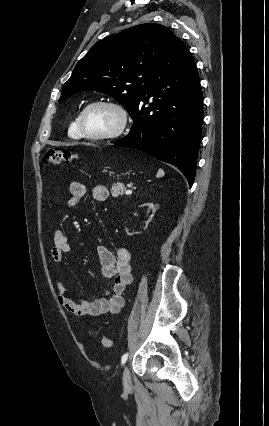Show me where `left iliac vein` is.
Returning <instances> with one entry per match:
<instances>
[{"label":"left iliac vein","instance_id":"4c4485c4","mask_svg":"<svg viewBox=\"0 0 269 426\" xmlns=\"http://www.w3.org/2000/svg\"><path fill=\"white\" fill-rule=\"evenodd\" d=\"M122 380H123L124 388L130 389L132 386V381H131L130 371L127 365L124 367Z\"/></svg>","mask_w":269,"mask_h":426}]
</instances>
